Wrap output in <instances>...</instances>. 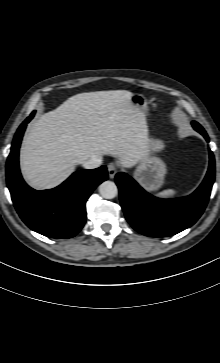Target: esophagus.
<instances>
[{"instance_id":"1","label":"esophagus","mask_w":220,"mask_h":363,"mask_svg":"<svg viewBox=\"0 0 220 363\" xmlns=\"http://www.w3.org/2000/svg\"><path fill=\"white\" fill-rule=\"evenodd\" d=\"M108 174L111 179H113L117 173V166L114 163H110L107 166Z\"/></svg>"}]
</instances>
